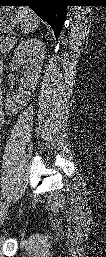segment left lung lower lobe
Segmentation results:
<instances>
[{"mask_svg":"<svg viewBox=\"0 0 106 257\" xmlns=\"http://www.w3.org/2000/svg\"><path fill=\"white\" fill-rule=\"evenodd\" d=\"M0 4L10 6H29L52 27L56 39L59 37L66 17L64 0H0Z\"/></svg>","mask_w":106,"mask_h":257,"instance_id":"1","label":"left lung lower lobe"}]
</instances>
